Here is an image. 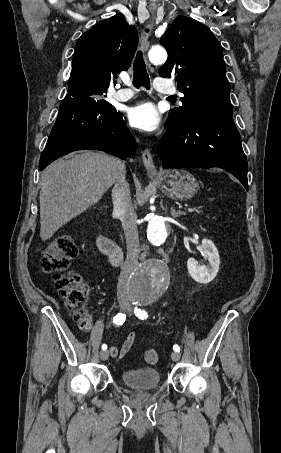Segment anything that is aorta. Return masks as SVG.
<instances>
[{
    "label": "aorta",
    "mask_w": 281,
    "mask_h": 453,
    "mask_svg": "<svg viewBox=\"0 0 281 453\" xmlns=\"http://www.w3.org/2000/svg\"><path fill=\"white\" fill-rule=\"evenodd\" d=\"M148 57L155 65L163 64L167 60V52L162 47H152ZM147 217V237L149 241L154 245L163 244L169 236L164 218L154 214ZM169 282L168 267L161 260L150 259L133 271L129 279V289L135 300L141 303H150L165 292Z\"/></svg>",
    "instance_id": "obj_1"
}]
</instances>
